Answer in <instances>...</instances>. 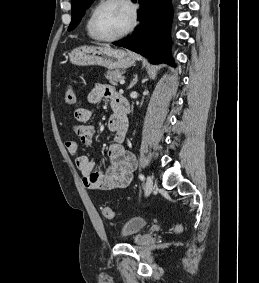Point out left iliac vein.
Here are the masks:
<instances>
[{
	"label": "left iliac vein",
	"instance_id": "left-iliac-vein-1",
	"mask_svg": "<svg viewBox=\"0 0 259 283\" xmlns=\"http://www.w3.org/2000/svg\"><path fill=\"white\" fill-rule=\"evenodd\" d=\"M153 189H154L153 179L149 175V176H147V179H146L145 195L149 196L151 194V192L153 191Z\"/></svg>",
	"mask_w": 259,
	"mask_h": 283
}]
</instances>
